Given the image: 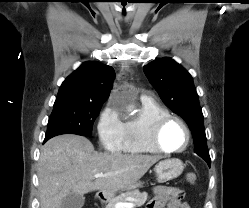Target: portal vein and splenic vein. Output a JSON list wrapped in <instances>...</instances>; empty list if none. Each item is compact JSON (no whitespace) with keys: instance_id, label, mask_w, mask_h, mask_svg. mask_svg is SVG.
Segmentation results:
<instances>
[{"instance_id":"portal-vein-and-splenic-vein-1","label":"portal vein and splenic vein","mask_w":249,"mask_h":208,"mask_svg":"<svg viewBox=\"0 0 249 208\" xmlns=\"http://www.w3.org/2000/svg\"><path fill=\"white\" fill-rule=\"evenodd\" d=\"M111 176V174H95V178H100V177H108ZM134 204L133 203H116L115 208H133Z\"/></svg>"}]
</instances>
